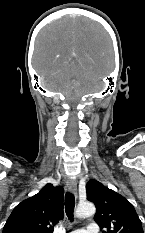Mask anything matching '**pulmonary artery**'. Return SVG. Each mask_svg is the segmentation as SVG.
I'll return each instance as SVG.
<instances>
[{"label": "pulmonary artery", "instance_id": "obj_1", "mask_svg": "<svg viewBox=\"0 0 145 233\" xmlns=\"http://www.w3.org/2000/svg\"><path fill=\"white\" fill-rule=\"evenodd\" d=\"M72 233H99V227L96 223H89L86 229L75 230Z\"/></svg>", "mask_w": 145, "mask_h": 233}]
</instances>
